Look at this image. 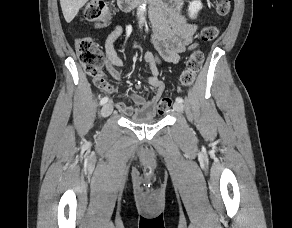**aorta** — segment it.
Here are the masks:
<instances>
[{
    "label": "aorta",
    "instance_id": "762f6f07",
    "mask_svg": "<svg viewBox=\"0 0 292 228\" xmlns=\"http://www.w3.org/2000/svg\"><path fill=\"white\" fill-rule=\"evenodd\" d=\"M146 0H144L143 3H141L137 9V16L139 18V26L142 27L144 20H145V13H146Z\"/></svg>",
    "mask_w": 292,
    "mask_h": 228
}]
</instances>
